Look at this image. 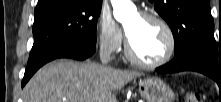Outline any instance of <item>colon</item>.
I'll return each mask as SVG.
<instances>
[{
	"label": "colon",
	"instance_id": "colon-1",
	"mask_svg": "<svg viewBox=\"0 0 221 102\" xmlns=\"http://www.w3.org/2000/svg\"><path fill=\"white\" fill-rule=\"evenodd\" d=\"M185 102H202V98L196 92H188L185 97Z\"/></svg>",
	"mask_w": 221,
	"mask_h": 102
}]
</instances>
